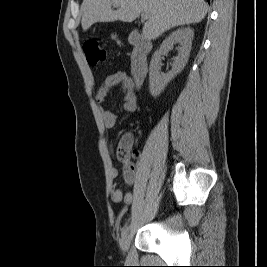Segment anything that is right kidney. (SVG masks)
<instances>
[{
  "mask_svg": "<svg viewBox=\"0 0 267 267\" xmlns=\"http://www.w3.org/2000/svg\"><path fill=\"white\" fill-rule=\"evenodd\" d=\"M193 36L194 31L191 28H179L166 37L159 50L154 53L149 67V90L153 97L159 96L168 83L184 69L189 58ZM175 44H179V52L173 58L172 70L166 74L162 73L159 65L161 56L167 54Z\"/></svg>",
  "mask_w": 267,
  "mask_h": 267,
  "instance_id": "obj_1",
  "label": "right kidney"
}]
</instances>
